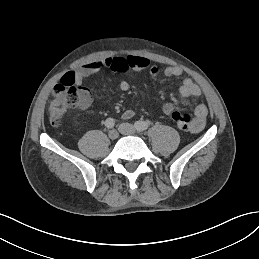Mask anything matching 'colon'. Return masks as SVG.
I'll use <instances>...</instances> for the list:
<instances>
[{
    "instance_id": "colon-1",
    "label": "colon",
    "mask_w": 259,
    "mask_h": 259,
    "mask_svg": "<svg viewBox=\"0 0 259 259\" xmlns=\"http://www.w3.org/2000/svg\"><path fill=\"white\" fill-rule=\"evenodd\" d=\"M90 101L91 96L89 90L86 87L76 84L72 72L67 73L53 92L48 109L50 124L59 126L63 117L70 110L76 107H87ZM171 118L175 125L181 130L189 128L191 124V117L182 111H172Z\"/></svg>"
}]
</instances>
